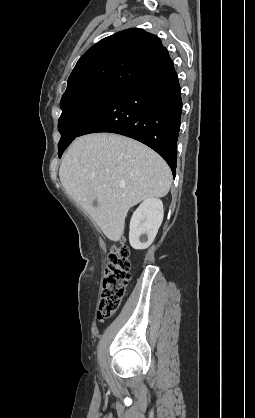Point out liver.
I'll return each instance as SVG.
<instances>
[{"label": "liver", "instance_id": "6515ba94", "mask_svg": "<svg viewBox=\"0 0 255 418\" xmlns=\"http://www.w3.org/2000/svg\"><path fill=\"white\" fill-rule=\"evenodd\" d=\"M59 177L65 191L113 241L121 240L132 206L164 197L172 183L169 166L156 152L111 133L77 138L61 163Z\"/></svg>", "mask_w": 255, "mask_h": 418}]
</instances>
